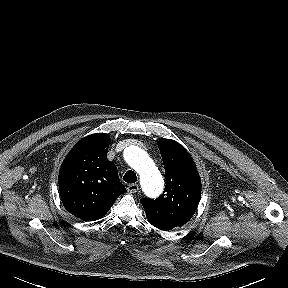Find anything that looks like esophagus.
I'll return each mask as SVG.
<instances>
[{
    "label": "esophagus",
    "mask_w": 288,
    "mask_h": 288,
    "mask_svg": "<svg viewBox=\"0 0 288 288\" xmlns=\"http://www.w3.org/2000/svg\"><path fill=\"white\" fill-rule=\"evenodd\" d=\"M139 190V185L136 183L129 184L127 186V191L130 193H136Z\"/></svg>",
    "instance_id": "esophagus-1"
}]
</instances>
